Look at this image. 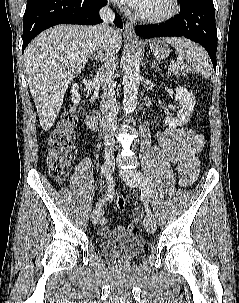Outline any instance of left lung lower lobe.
Instances as JSON below:
<instances>
[{
    "label": "left lung lower lobe",
    "instance_id": "obj_1",
    "mask_svg": "<svg viewBox=\"0 0 239 303\" xmlns=\"http://www.w3.org/2000/svg\"><path fill=\"white\" fill-rule=\"evenodd\" d=\"M179 15L164 24L140 25L136 34L142 38L183 36L201 44L216 69L217 30L212 0H190L180 4Z\"/></svg>",
    "mask_w": 239,
    "mask_h": 303
}]
</instances>
